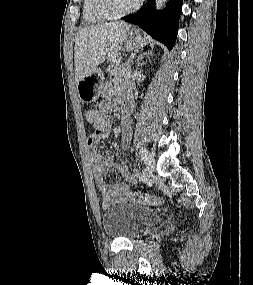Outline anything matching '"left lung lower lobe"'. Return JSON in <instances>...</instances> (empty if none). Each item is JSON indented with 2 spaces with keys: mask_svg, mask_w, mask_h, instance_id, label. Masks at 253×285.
<instances>
[{
  "mask_svg": "<svg viewBox=\"0 0 253 285\" xmlns=\"http://www.w3.org/2000/svg\"><path fill=\"white\" fill-rule=\"evenodd\" d=\"M155 0H148L136 14H130L122 19L138 25L154 39L162 42L171 50L175 44L179 16L183 0H170L162 11H157Z\"/></svg>",
  "mask_w": 253,
  "mask_h": 285,
  "instance_id": "0a47b994",
  "label": "left lung lower lobe"
}]
</instances>
